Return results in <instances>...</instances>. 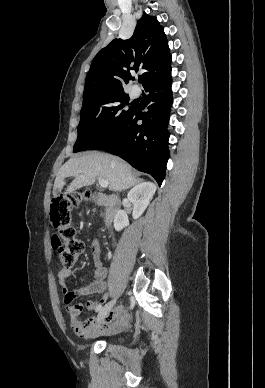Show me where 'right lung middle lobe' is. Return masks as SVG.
Segmentation results:
<instances>
[{
    "mask_svg": "<svg viewBox=\"0 0 265 388\" xmlns=\"http://www.w3.org/2000/svg\"><path fill=\"white\" fill-rule=\"evenodd\" d=\"M123 90H105L83 98L78 138L73 152L100 150L120 132L134 111Z\"/></svg>",
    "mask_w": 265,
    "mask_h": 388,
    "instance_id": "obj_1",
    "label": "right lung middle lobe"
}]
</instances>
